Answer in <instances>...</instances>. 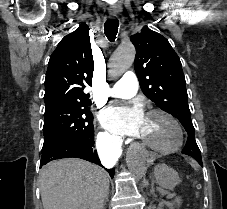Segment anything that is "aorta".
Wrapping results in <instances>:
<instances>
[{"instance_id": "1", "label": "aorta", "mask_w": 227, "mask_h": 209, "mask_svg": "<svg viewBox=\"0 0 227 209\" xmlns=\"http://www.w3.org/2000/svg\"><path fill=\"white\" fill-rule=\"evenodd\" d=\"M135 58V48L131 43L121 45L110 58L109 74L121 75L130 68ZM127 166L130 173L137 179H141L146 173V155L142 147L134 146L127 153Z\"/></svg>"}]
</instances>
